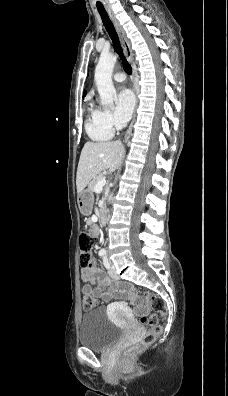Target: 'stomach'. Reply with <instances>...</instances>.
Instances as JSON below:
<instances>
[{"instance_id":"1","label":"stomach","mask_w":228,"mask_h":396,"mask_svg":"<svg viewBox=\"0 0 228 396\" xmlns=\"http://www.w3.org/2000/svg\"><path fill=\"white\" fill-rule=\"evenodd\" d=\"M78 207L82 215L89 216L92 212L94 195L90 189L83 190L78 194L77 198Z\"/></svg>"}]
</instances>
